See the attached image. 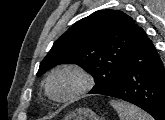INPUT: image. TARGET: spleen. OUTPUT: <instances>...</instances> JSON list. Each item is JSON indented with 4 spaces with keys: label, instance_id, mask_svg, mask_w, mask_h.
<instances>
[{
    "label": "spleen",
    "instance_id": "1",
    "mask_svg": "<svg viewBox=\"0 0 165 120\" xmlns=\"http://www.w3.org/2000/svg\"><path fill=\"white\" fill-rule=\"evenodd\" d=\"M110 105L117 111L120 120H154L148 113L130 103L111 100Z\"/></svg>",
    "mask_w": 165,
    "mask_h": 120
}]
</instances>
